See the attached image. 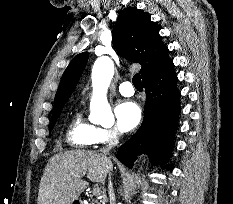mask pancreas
<instances>
[{
  "mask_svg": "<svg viewBox=\"0 0 233 204\" xmlns=\"http://www.w3.org/2000/svg\"><path fill=\"white\" fill-rule=\"evenodd\" d=\"M89 204H99V203H97V202H91V203H89Z\"/></svg>",
  "mask_w": 233,
  "mask_h": 204,
  "instance_id": "1",
  "label": "pancreas"
}]
</instances>
